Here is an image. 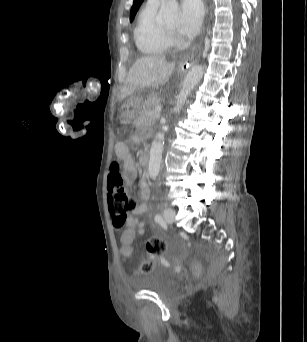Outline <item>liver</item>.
I'll list each match as a JSON object with an SVG mask.
<instances>
[{"instance_id":"obj_1","label":"liver","mask_w":307,"mask_h":342,"mask_svg":"<svg viewBox=\"0 0 307 342\" xmlns=\"http://www.w3.org/2000/svg\"><path fill=\"white\" fill-rule=\"evenodd\" d=\"M174 68L175 62H167L166 56L162 54L138 58L127 74L126 82L120 92L121 100H125L140 88L164 86Z\"/></svg>"}]
</instances>
